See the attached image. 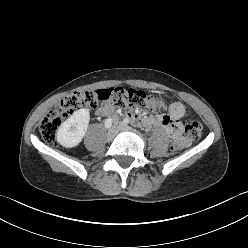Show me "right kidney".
<instances>
[{
  "label": "right kidney",
  "mask_w": 248,
  "mask_h": 248,
  "mask_svg": "<svg viewBox=\"0 0 248 248\" xmlns=\"http://www.w3.org/2000/svg\"><path fill=\"white\" fill-rule=\"evenodd\" d=\"M90 120L89 110L82 108L69 117L58 129L57 142L65 148L78 146L86 134Z\"/></svg>",
  "instance_id": "right-kidney-1"
}]
</instances>
